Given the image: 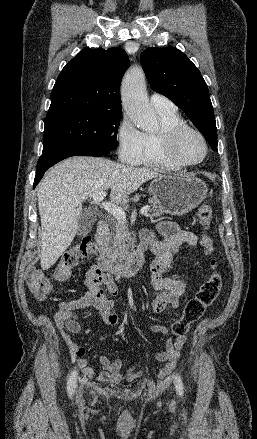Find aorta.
I'll use <instances>...</instances> for the list:
<instances>
[{"mask_svg": "<svg viewBox=\"0 0 257 439\" xmlns=\"http://www.w3.org/2000/svg\"><path fill=\"white\" fill-rule=\"evenodd\" d=\"M121 98L126 114L138 128L146 132L158 129V120L150 106L145 76L141 69L135 68L125 75Z\"/></svg>", "mask_w": 257, "mask_h": 439, "instance_id": "aorta-1", "label": "aorta"}]
</instances>
